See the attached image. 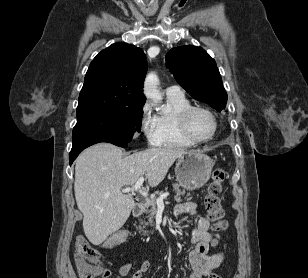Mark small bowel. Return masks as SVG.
<instances>
[{"label": "small bowel", "mask_w": 308, "mask_h": 278, "mask_svg": "<svg viewBox=\"0 0 308 278\" xmlns=\"http://www.w3.org/2000/svg\"><path fill=\"white\" fill-rule=\"evenodd\" d=\"M176 214L197 217L196 226L191 232V242L194 244V248L188 255L189 264L192 269L189 278H205L214 269L219 267L224 260V254L222 252L213 255L208 254L209 246L213 239L210 220L208 217L201 215L197 205L191 202L178 205L176 207ZM120 258L123 264L116 278H125L130 272L131 263L126 259L125 253L121 254ZM150 266L151 262L149 260L144 261L141 267L133 274L132 278H143ZM110 276V270L103 266L100 278H109Z\"/></svg>", "instance_id": "c3829d8e"}]
</instances>
